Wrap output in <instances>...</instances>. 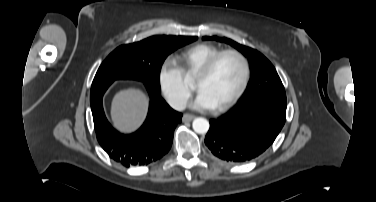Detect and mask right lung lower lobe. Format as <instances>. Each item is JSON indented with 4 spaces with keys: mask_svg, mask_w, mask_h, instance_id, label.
Masks as SVG:
<instances>
[{
    "mask_svg": "<svg viewBox=\"0 0 376 202\" xmlns=\"http://www.w3.org/2000/svg\"><path fill=\"white\" fill-rule=\"evenodd\" d=\"M112 82L91 87L90 104L99 144L110 158L125 167L147 165L160 159L171 148L174 129L181 123L182 114L161 98L160 90L144 83L150 96L147 119L135 133L120 134L108 123L102 105V97Z\"/></svg>",
    "mask_w": 376,
    "mask_h": 202,
    "instance_id": "right-lung-lower-lobe-1",
    "label": "right lung lower lobe"
}]
</instances>
